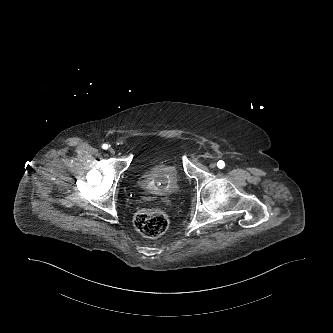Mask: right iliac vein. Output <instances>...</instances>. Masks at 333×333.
Returning <instances> with one entry per match:
<instances>
[{
  "mask_svg": "<svg viewBox=\"0 0 333 333\" xmlns=\"http://www.w3.org/2000/svg\"><path fill=\"white\" fill-rule=\"evenodd\" d=\"M109 152H110L111 154H114V153H115V150H114L113 148H110V149H109Z\"/></svg>",
  "mask_w": 333,
  "mask_h": 333,
  "instance_id": "right-iliac-vein-1",
  "label": "right iliac vein"
}]
</instances>
